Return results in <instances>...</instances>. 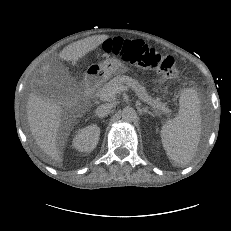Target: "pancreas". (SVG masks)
Segmentation results:
<instances>
[{"instance_id":"pancreas-1","label":"pancreas","mask_w":231,"mask_h":231,"mask_svg":"<svg viewBox=\"0 0 231 231\" xmlns=\"http://www.w3.org/2000/svg\"><path fill=\"white\" fill-rule=\"evenodd\" d=\"M126 85L127 87L134 90L136 95L140 100L143 102H146L148 105H150L153 110L157 113H170V109L168 106H166L165 103L160 101V98H152L150 95H148L145 87L141 85L137 80L129 77V76H116L112 80H110L107 83H104L102 86L98 87L95 90V96L99 97L101 99L102 95L111 87L115 85Z\"/></svg>"}]
</instances>
